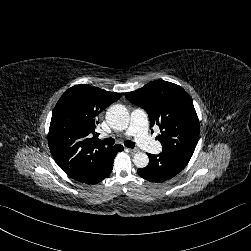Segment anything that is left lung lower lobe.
Masks as SVG:
<instances>
[{
    "mask_svg": "<svg viewBox=\"0 0 251 251\" xmlns=\"http://www.w3.org/2000/svg\"><path fill=\"white\" fill-rule=\"evenodd\" d=\"M149 164L145 168L137 170L138 174L150 182H164L181 172L188 164L189 160L178 155L148 154Z\"/></svg>",
    "mask_w": 251,
    "mask_h": 251,
    "instance_id": "1",
    "label": "left lung lower lobe"
}]
</instances>
